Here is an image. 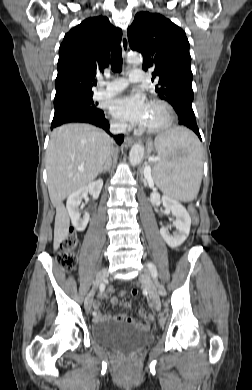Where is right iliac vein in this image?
<instances>
[{"mask_svg": "<svg viewBox=\"0 0 252 390\" xmlns=\"http://www.w3.org/2000/svg\"><path fill=\"white\" fill-rule=\"evenodd\" d=\"M108 276V271L106 268H102L98 274H97V278H96V281L94 283V286L93 287H97L100 285V283L102 282V280H105ZM96 290H92L90 291V293L87 295V297L85 298V309L87 311H91V308H92V302H93V296H94V293H95Z\"/></svg>", "mask_w": 252, "mask_h": 390, "instance_id": "63e3f726", "label": "right iliac vein"}]
</instances>
